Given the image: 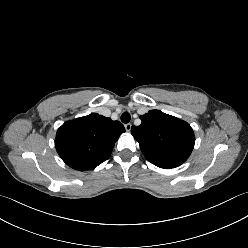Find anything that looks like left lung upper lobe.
Returning a JSON list of instances; mask_svg holds the SVG:
<instances>
[{
    "instance_id": "5c2ea615",
    "label": "left lung upper lobe",
    "mask_w": 248,
    "mask_h": 248,
    "mask_svg": "<svg viewBox=\"0 0 248 248\" xmlns=\"http://www.w3.org/2000/svg\"><path fill=\"white\" fill-rule=\"evenodd\" d=\"M141 124L131 133L139 142L144 156L160 168H175L190 156L195 136L191 126L159 110L141 115Z\"/></svg>"
}]
</instances>
